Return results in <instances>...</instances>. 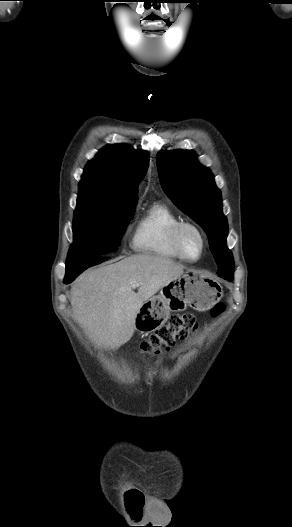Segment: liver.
<instances>
[{
    "mask_svg": "<svg viewBox=\"0 0 292 527\" xmlns=\"http://www.w3.org/2000/svg\"><path fill=\"white\" fill-rule=\"evenodd\" d=\"M183 273L182 264L151 254L89 270L71 287L74 318L100 347L118 349L133 336L143 303ZM131 283L138 284L137 293Z\"/></svg>",
    "mask_w": 292,
    "mask_h": 527,
    "instance_id": "liver-1",
    "label": "liver"
}]
</instances>
